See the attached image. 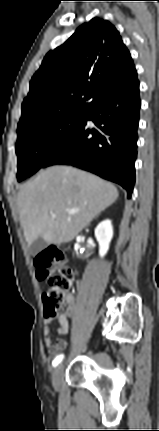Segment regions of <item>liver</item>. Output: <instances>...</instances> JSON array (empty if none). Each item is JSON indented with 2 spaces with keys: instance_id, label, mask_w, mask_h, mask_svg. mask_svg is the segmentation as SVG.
<instances>
[{
  "instance_id": "6515ba94",
  "label": "liver",
  "mask_w": 159,
  "mask_h": 431,
  "mask_svg": "<svg viewBox=\"0 0 159 431\" xmlns=\"http://www.w3.org/2000/svg\"><path fill=\"white\" fill-rule=\"evenodd\" d=\"M103 179L68 166H52L24 184L18 193L20 224L29 246L42 237L48 244L72 241L118 198ZM79 212L69 214L67 210ZM54 212L56 218H51Z\"/></svg>"
}]
</instances>
